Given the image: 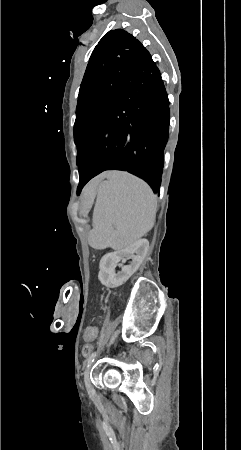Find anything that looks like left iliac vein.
Here are the masks:
<instances>
[{
	"label": "left iliac vein",
	"instance_id": "obj_1",
	"mask_svg": "<svg viewBox=\"0 0 241 450\" xmlns=\"http://www.w3.org/2000/svg\"><path fill=\"white\" fill-rule=\"evenodd\" d=\"M84 382H85V388H86L88 395L90 397H92L95 394V391L92 387V384H91V381L89 378V370H87L84 374Z\"/></svg>",
	"mask_w": 241,
	"mask_h": 450
}]
</instances>
